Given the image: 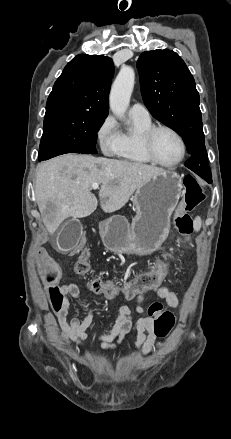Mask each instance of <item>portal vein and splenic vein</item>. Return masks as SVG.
I'll return each mask as SVG.
<instances>
[{"instance_id": "obj_1", "label": "portal vein and splenic vein", "mask_w": 231, "mask_h": 439, "mask_svg": "<svg viewBox=\"0 0 231 439\" xmlns=\"http://www.w3.org/2000/svg\"><path fill=\"white\" fill-rule=\"evenodd\" d=\"M91 187H92L93 190H96V189H98L99 184L98 183H93Z\"/></svg>"}]
</instances>
